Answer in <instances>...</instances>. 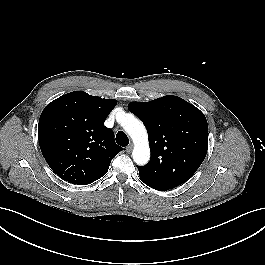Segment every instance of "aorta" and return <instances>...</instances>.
I'll return each mask as SVG.
<instances>
[{"instance_id": "1", "label": "aorta", "mask_w": 265, "mask_h": 265, "mask_svg": "<svg viewBox=\"0 0 265 265\" xmlns=\"http://www.w3.org/2000/svg\"><path fill=\"white\" fill-rule=\"evenodd\" d=\"M122 126L134 143L133 160L138 165L146 164L150 159V147L144 124L133 116H127L122 121Z\"/></svg>"}]
</instances>
